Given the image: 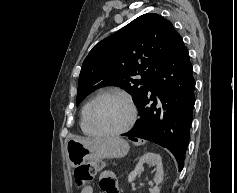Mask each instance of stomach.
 I'll list each match as a JSON object with an SVG mask.
<instances>
[{
  "label": "stomach",
  "mask_w": 237,
  "mask_h": 193,
  "mask_svg": "<svg viewBox=\"0 0 237 193\" xmlns=\"http://www.w3.org/2000/svg\"><path fill=\"white\" fill-rule=\"evenodd\" d=\"M128 152V142L119 137L90 143L71 139L66 144L67 158L72 167H79L88 160L122 158Z\"/></svg>",
  "instance_id": "0dacf381"
}]
</instances>
